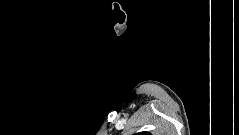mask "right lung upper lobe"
Instances as JSON below:
<instances>
[{
  "instance_id": "right-lung-upper-lobe-1",
  "label": "right lung upper lobe",
  "mask_w": 239,
  "mask_h": 135,
  "mask_svg": "<svg viewBox=\"0 0 239 135\" xmlns=\"http://www.w3.org/2000/svg\"><path fill=\"white\" fill-rule=\"evenodd\" d=\"M135 135H151L149 132H140L136 133Z\"/></svg>"
}]
</instances>
